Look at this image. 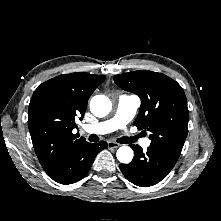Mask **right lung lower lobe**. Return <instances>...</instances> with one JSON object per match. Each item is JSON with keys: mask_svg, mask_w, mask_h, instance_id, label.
<instances>
[{"mask_svg": "<svg viewBox=\"0 0 221 221\" xmlns=\"http://www.w3.org/2000/svg\"><path fill=\"white\" fill-rule=\"evenodd\" d=\"M104 148H107L105 141L97 144L85 143L67 157L54 162L44 170L58 183H75L89 172L98 152Z\"/></svg>", "mask_w": 221, "mask_h": 221, "instance_id": "obj_1", "label": "right lung lower lobe"}]
</instances>
